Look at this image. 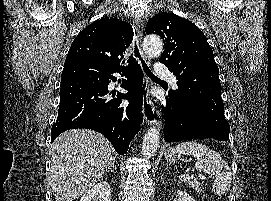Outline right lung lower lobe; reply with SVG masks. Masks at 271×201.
Here are the masks:
<instances>
[{"label":"right lung lower lobe","mask_w":271,"mask_h":201,"mask_svg":"<svg viewBox=\"0 0 271 201\" xmlns=\"http://www.w3.org/2000/svg\"><path fill=\"white\" fill-rule=\"evenodd\" d=\"M114 73L126 78L122 87L128 93H117V99L109 100L108 85L117 80ZM61 76L60 105L51 142L66 130L87 128L103 134L116 152L124 155L143 118L140 65L111 68L85 59H70L65 61Z\"/></svg>","instance_id":"right-lung-lower-lobe-1"}]
</instances>
